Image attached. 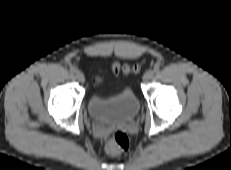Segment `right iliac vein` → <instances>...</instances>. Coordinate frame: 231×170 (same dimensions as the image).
Returning a JSON list of instances; mask_svg holds the SVG:
<instances>
[{"label":"right iliac vein","mask_w":231,"mask_h":170,"mask_svg":"<svg viewBox=\"0 0 231 170\" xmlns=\"http://www.w3.org/2000/svg\"><path fill=\"white\" fill-rule=\"evenodd\" d=\"M75 76L79 82L81 83L85 82V76L83 75L81 71H76Z\"/></svg>","instance_id":"63e3f726"}]
</instances>
